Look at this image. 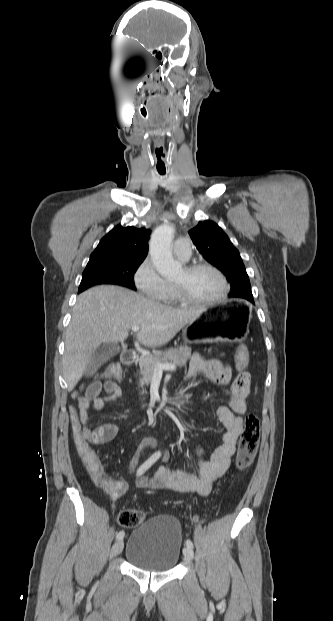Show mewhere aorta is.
Returning <instances> with one entry per match:
<instances>
[{"instance_id": "aorta-1", "label": "aorta", "mask_w": 333, "mask_h": 621, "mask_svg": "<svg viewBox=\"0 0 333 621\" xmlns=\"http://www.w3.org/2000/svg\"><path fill=\"white\" fill-rule=\"evenodd\" d=\"M174 232L171 225L163 224L152 233L150 239L151 259L157 272L164 278H173L182 273V265L174 261L170 248ZM158 454L161 455L160 452Z\"/></svg>"}]
</instances>
